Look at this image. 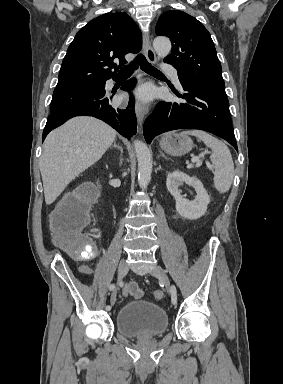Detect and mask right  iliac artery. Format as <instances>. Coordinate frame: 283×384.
Segmentation results:
<instances>
[{
  "mask_svg": "<svg viewBox=\"0 0 283 384\" xmlns=\"http://www.w3.org/2000/svg\"><path fill=\"white\" fill-rule=\"evenodd\" d=\"M115 289V284H111L110 286H109V290L110 291H113ZM106 310H111V306L110 305H107L106 306Z\"/></svg>",
  "mask_w": 283,
  "mask_h": 384,
  "instance_id": "right-iliac-artery-1",
  "label": "right iliac artery"
}]
</instances>
